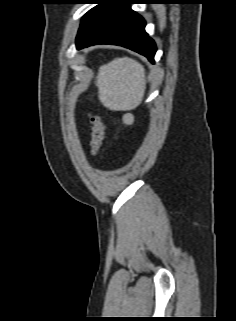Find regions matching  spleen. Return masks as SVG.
Masks as SVG:
<instances>
[{
  "mask_svg": "<svg viewBox=\"0 0 236 321\" xmlns=\"http://www.w3.org/2000/svg\"><path fill=\"white\" fill-rule=\"evenodd\" d=\"M96 86L105 107L111 110L134 109L144 95V68L128 57L114 59L100 67Z\"/></svg>",
  "mask_w": 236,
  "mask_h": 321,
  "instance_id": "obj_1",
  "label": "spleen"
}]
</instances>
